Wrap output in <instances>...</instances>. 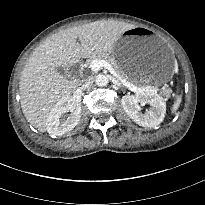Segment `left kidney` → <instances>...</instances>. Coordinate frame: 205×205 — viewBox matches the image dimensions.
Segmentation results:
<instances>
[{"label": "left kidney", "mask_w": 205, "mask_h": 205, "mask_svg": "<svg viewBox=\"0 0 205 205\" xmlns=\"http://www.w3.org/2000/svg\"><path fill=\"white\" fill-rule=\"evenodd\" d=\"M138 103L149 104L150 108L145 113L140 112ZM121 104L126 114L138 125L142 127H156L164 119L166 113V103L164 99L153 91L141 88L135 95H125L121 99Z\"/></svg>", "instance_id": "5707ae66"}]
</instances>
